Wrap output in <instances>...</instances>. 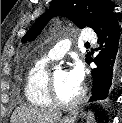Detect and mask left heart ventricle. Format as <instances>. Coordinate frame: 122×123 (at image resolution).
I'll return each instance as SVG.
<instances>
[{
	"label": "left heart ventricle",
	"mask_w": 122,
	"mask_h": 123,
	"mask_svg": "<svg viewBox=\"0 0 122 123\" xmlns=\"http://www.w3.org/2000/svg\"><path fill=\"white\" fill-rule=\"evenodd\" d=\"M57 93L61 99L69 100L74 98L80 91L81 85L71 81L68 71L59 69L54 72Z\"/></svg>",
	"instance_id": "1"
}]
</instances>
